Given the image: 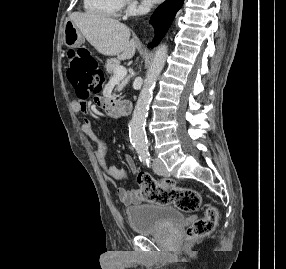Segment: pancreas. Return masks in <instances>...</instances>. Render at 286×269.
Listing matches in <instances>:
<instances>
[{
  "label": "pancreas",
  "instance_id": "cf45deb5",
  "mask_svg": "<svg viewBox=\"0 0 286 269\" xmlns=\"http://www.w3.org/2000/svg\"><path fill=\"white\" fill-rule=\"evenodd\" d=\"M120 66V61L117 59H109L105 65L106 72L111 76H114L116 67ZM115 96V94L113 95Z\"/></svg>",
  "mask_w": 286,
  "mask_h": 269
}]
</instances>
